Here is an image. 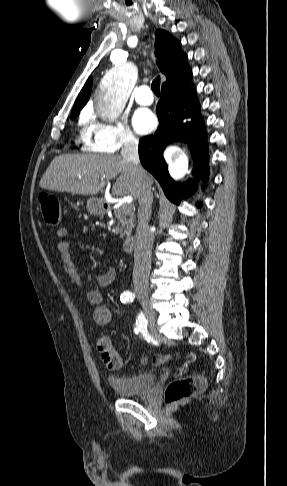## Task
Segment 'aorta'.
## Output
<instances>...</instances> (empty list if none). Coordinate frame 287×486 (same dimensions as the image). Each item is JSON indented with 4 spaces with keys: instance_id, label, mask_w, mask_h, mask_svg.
<instances>
[{
    "instance_id": "aorta-1",
    "label": "aorta",
    "mask_w": 287,
    "mask_h": 486,
    "mask_svg": "<svg viewBox=\"0 0 287 486\" xmlns=\"http://www.w3.org/2000/svg\"><path fill=\"white\" fill-rule=\"evenodd\" d=\"M131 89L132 82L128 72H111L106 76L97 96V114L104 120H115L123 111ZM187 170L188 162L183 156L169 166V173L175 180L183 178Z\"/></svg>"
}]
</instances>
